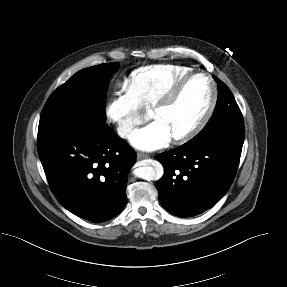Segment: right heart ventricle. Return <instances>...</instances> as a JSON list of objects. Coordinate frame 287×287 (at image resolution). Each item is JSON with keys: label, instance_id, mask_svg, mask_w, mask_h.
<instances>
[{"label": "right heart ventricle", "instance_id": "1", "mask_svg": "<svg viewBox=\"0 0 287 287\" xmlns=\"http://www.w3.org/2000/svg\"><path fill=\"white\" fill-rule=\"evenodd\" d=\"M187 66L160 64L141 67L130 74L127 85L142 108H151L181 77Z\"/></svg>", "mask_w": 287, "mask_h": 287}]
</instances>
